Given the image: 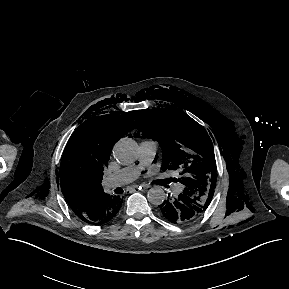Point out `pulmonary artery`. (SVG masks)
<instances>
[{"mask_svg":"<svg viewBox=\"0 0 289 289\" xmlns=\"http://www.w3.org/2000/svg\"><path fill=\"white\" fill-rule=\"evenodd\" d=\"M158 150V143L154 140H145L140 143V160L111 175L104 180L107 188H115L135 180L145 165L149 164L155 157ZM178 189H176V192Z\"/></svg>","mask_w":289,"mask_h":289,"instance_id":"e3ab8cb5","label":"pulmonary artery"}]
</instances>
